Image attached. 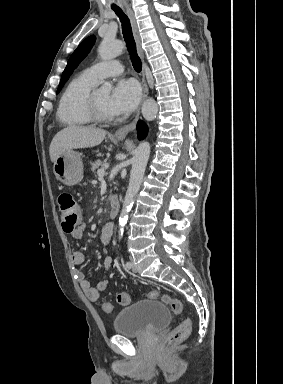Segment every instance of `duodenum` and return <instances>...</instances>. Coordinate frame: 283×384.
<instances>
[{"label": "duodenum", "instance_id": "obj_1", "mask_svg": "<svg viewBox=\"0 0 283 384\" xmlns=\"http://www.w3.org/2000/svg\"><path fill=\"white\" fill-rule=\"evenodd\" d=\"M111 200L112 202H111V208L109 211V216L111 218H116L120 211V201L115 194L112 195Z\"/></svg>", "mask_w": 283, "mask_h": 384}]
</instances>
